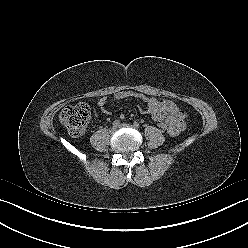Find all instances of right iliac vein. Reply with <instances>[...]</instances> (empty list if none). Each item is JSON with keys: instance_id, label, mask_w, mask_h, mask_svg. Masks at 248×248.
<instances>
[{"instance_id": "63e3f726", "label": "right iliac vein", "mask_w": 248, "mask_h": 248, "mask_svg": "<svg viewBox=\"0 0 248 248\" xmlns=\"http://www.w3.org/2000/svg\"><path fill=\"white\" fill-rule=\"evenodd\" d=\"M116 131V127H112V128H110V133H114Z\"/></svg>"}]
</instances>
